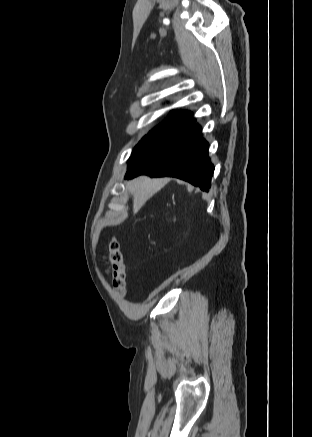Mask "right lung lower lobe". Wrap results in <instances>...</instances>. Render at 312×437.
Masks as SVG:
<instances>
[{
	"instance_id": "1",
	"label": "right lung lower lobe",
	"mask_w": 312,
	"mask_h": 437,
	"mask_svg": "<svg viewBox=\"0 0 312 437\" xmlns=\"http://www.w3.org/2000/svg\"><path fill=\"white\" fill-rule=\"evenodd\" d=\"M208 146L202 137L201 127L194 124L174 141L133 155L128 161L125 178L141 174L151 177L171 176L208 191L214 172L208 156Z\"/></svg>"
}]
</instances>
